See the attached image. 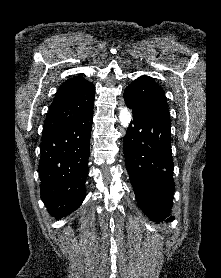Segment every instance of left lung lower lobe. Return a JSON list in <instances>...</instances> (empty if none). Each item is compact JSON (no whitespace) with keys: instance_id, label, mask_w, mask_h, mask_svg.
Here are the masks:
<instances>
[{"instance_id":"left-lung-lower-lobe-1","label":"left lung lower lobe","mask_w":221,"mask_h":278,"mask_svg":"<svg viewBox=\"0 0 221 278\" xmlns=\"http://www.w3.org/2000/svg\"><path fill=\"white\" fill-rule=\"evenodd\" d=\"M124 137V157L136 200L150 220L173 221V161L170 115L132 110Z\"/></svg>"}]
</instances>
